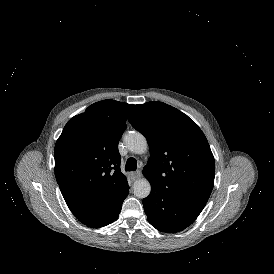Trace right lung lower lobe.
Masks as SVG:
<instances>
[{
    "label": "right lung lower lobe",
    "instance_id": "98d812e1",
    "mask_svg": "<svg viewBox=\"0 0 274 274\" xmlns=\"http://www.w3.org/2000/svg\"><path fill=\"white\" fill-rule=\"evenodd\" d=\"M129 193V187H127L122 193L121 195L118 197L117 201L115 202V204L113 205V207L111 208L110 213L104 217L101 221L93 223V224H89L87 226L92 227V228H98V227H103L108 225L109 223H112L114 220L117 219L120 211H121V206L122 203L124 201V199L127 197Z\"/></svg>",
    "mask_w": 274,
    "mask_h": 274
}]
</instances>
